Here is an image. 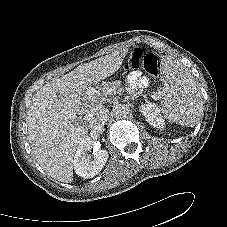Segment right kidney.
<instances>
[{
    "label": "right kidney",
    "mask_w": 227,
    "mask_h": 227,
    "mask_svg": "<svg viewBox=\"0 0 227 227\" xmlns=\"http://www.w3.org/2000/svg\"><path fill=\"white\" fill-rule=\"evenodd\" d=\"M94 147V142L86 137L83 139L74 155L73 166L75 173L84 179L92 178L97 175L105 166L108 159L106 150H93V159L88 155Z\"/></svg>",
    "instance_id": "obj_1"
}]
</instances>
